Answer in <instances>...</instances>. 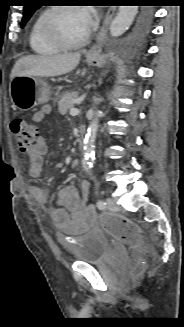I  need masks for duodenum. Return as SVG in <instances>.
I'll use <instances>...</instances> for the list:
<instances>
[{"mask_svg":"<svg viewBox=\"0 0 184 327\" xmlns=\"http://www.w3.org/2000/svg\"><path fill=\"white\" fill-rule=\"evenodd\" d=\"M79 136H80V148L82 149L86 143V135H85V130L83 128H80Z\"/></svg>","mask_w":184,"mask_h":327,"instance_id":"obj_1","label":"duodenum"}]
</instances>
